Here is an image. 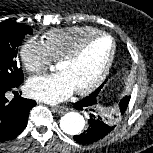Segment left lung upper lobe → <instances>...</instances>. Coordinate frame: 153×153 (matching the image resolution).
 Wrapping results in <instances>:
<instances>
[{
	"label": "left lung upper lobe",
	"instance_id": "1",
	"mask_svg": "<svg viewBox=\"0 0 153 153\" xmlns=\"http://www.w3.org/2000/svg\"><path fill=\"white\" fill-rule=\"evenodd\" d=\"M106 83V81L104 82ZM104 83L93 93H91L89 96L92 95H96L98 96V94L100 93ZM130 97L129 96H125L119 103V108L116 109H112L108 111V114L105 117V119L107 120V122L112 125L113 127H115V124L119 121L120 117L124 114L128 103H129Z\"/></svg>",
	"mask_w": 153,
	"mask_h": 153
}]
</instances>
